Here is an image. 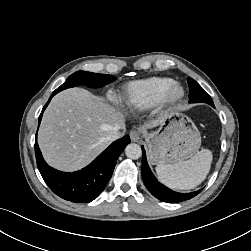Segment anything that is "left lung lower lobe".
I'll list each match as a JSON object with an SVG mask.
<instances>
[{
    "label": "left lung lower lobe",
    "mask_w": 251,
    "mask_h": 251,
    "mask_svg": "<svg viewBox=\"0 0 251 251\" xmlns=\"http://www.w3.org/2000/svg\"><path fill=\"white\" fill-rule=\"evenodd\" d=\"M142 178L146 188L150 193L157 199L168 202V203H178L185 200H189L199 194L202 189L191 192V193H178L165 187L163 184L159 183L153 173L151 172L147 160L144 147L142 146Z\"/></svg>",
    "instance_id": "left-lung-lower-lobe-1"
}]
</instances>
